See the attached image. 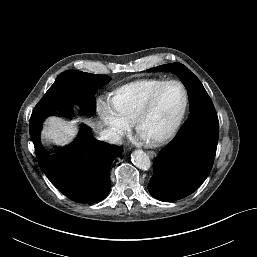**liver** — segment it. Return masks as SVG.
<instances>
[{
    "label": "liver",
    "instance_id": "obj_1",
    "mask_svg": "<svg viewBox=\"0 0 257 257\" xmlns=\"http://www.w3.org/2000/svg\"><path fill=\"white\" fill-rule=\"evenodd\" d=\"M56 119H51V122L49 124V129H48V137L52 140H56L57 137H58V134H57V124H56V121H54Z\"/></svg>",
    "mask_w": 257,
    "mask_h": 257
}]
</instances>
